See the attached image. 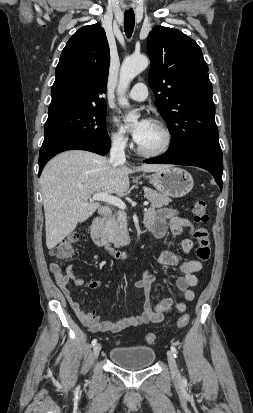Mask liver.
<instances>
[{"mask_svg": "<svg viewBox=\"0 0 253 413\" xmlns=\"http://www.w3.org/2000/svg\"><path fill=\"white\" fill-rule=\"evenodd\" d=\"M170 165L142 164L134 170L113 166L98 154L70 150L58 154L44 167L40 186L45 212L46 245L54 248L100 207L92 194L121 195L129 189V174L157 172Z\"/></svg>", "mask_w": 253, "mask_h": 413, "instance_id": "liver-1", "label": "liver"}]
</instances>
